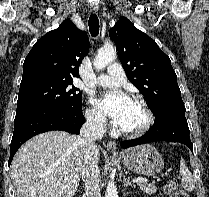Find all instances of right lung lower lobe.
<instances>
[{"label": "right lung lower lobe", "instance_id": "1", "mask_svg": "<svg viewBox=\"0 0 209 197\" xmlns=\"http://www.w3.org/2000/svg\"><path fill=\"white\" fill-rule=\"evenodd\" d=\"M84 122L82 107H47L16 115L8 164L10 165L18 148L31 137L51 130L79 134Z\"/></svg>", "mask_w": 209, "mask_h": 197}]
</instances>
